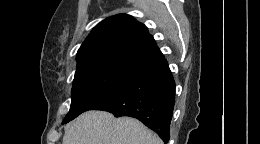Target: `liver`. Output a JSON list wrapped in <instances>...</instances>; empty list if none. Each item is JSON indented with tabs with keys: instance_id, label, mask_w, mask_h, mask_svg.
<instances>
[{
	"instance_id": "1",
	"label": "liver",
	"mask_w": 260,
	"mask_h": 144,
	"mask_svg": "<svg viewBox=\"0 0 260 144\" xmlns=\"http://www.w3.org/2000/svg\"><path fill=\"white\" fill-rule=\"evenodd\" d=\"M63 144H162V141L137 119L88 111L68 125Z\"/></svg>"
}]
</instances>
